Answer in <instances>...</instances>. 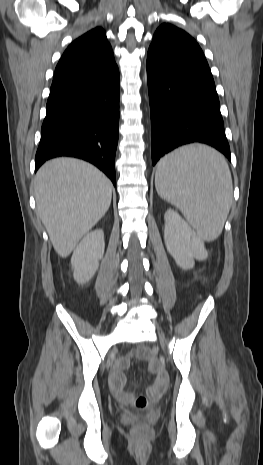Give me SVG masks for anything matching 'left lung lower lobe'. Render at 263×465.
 <instances>
[{
    "label": "left lung lower lobe",
    "mask_w": 263,
    "mask_h": 465,
    "mask_svg": "<svg viewBox=\"0 0 263 465\" xmlns=\"http://www.w3.org/2000/svg\"><path fill=\"white\" fill-rule=\"evenodd\" d=\"M152 163L184 144L199 142L230 160L219 99L205 57L150 46L147 55Z\"/></svg>",
    "instance_id": "0a47b994"
}]
</instances>
